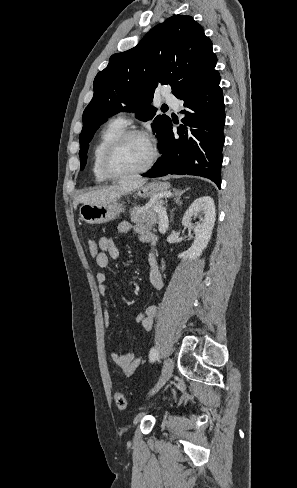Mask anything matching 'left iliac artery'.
<instances>
[{
  "instance_id": "1",
  "label": "left iliac artery",
  "mask_w": 297,
  "mask_h": 488,
  "mask_svg": "<svg viewBox=\"0 0 297 488\" xmlns=\"http://www.w3.org/2000/svg\"><path fill=\"white\" fill-rule=\"evenodd\" d=\"M157 357H158V350L155 347H152L149 352L150 362H154Z\"/></svg>"
}]
</instances>
